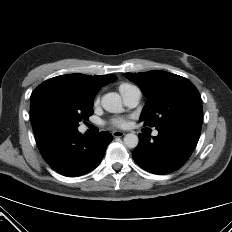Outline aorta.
Wrapping results in <instances>:
<instances>
[{
    "instance_id": "aorta-1",
    "label": "aorta",
    "mask_w": 232,
    "mask_h": 232,
    "mask_svg": "<svg viewBox=\"0 0 232 232\" xmlns=\"http://www.w3.org/2000/svg\"><path fill=\"white\" fill-rule=\"evenodd\" d=\"M102 107L110 113H121L123 111L122 99L115 92L105 94L101 99ZM124 145L128 148H135L138 145L139 139L136 134L129 133L124 136Z\"/></svg>"
}]
</instances>
